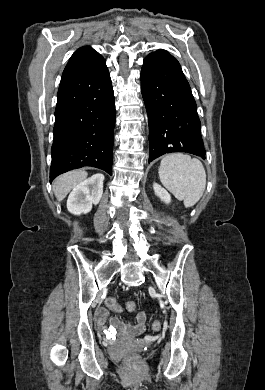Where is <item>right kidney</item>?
Returning a JSON list of instances; mask_svg holds the SVG:
<instances>
[{
	"mask_svg": "<svg viewBox=\"0 0 265 390\" xmlns=\"http://www.w3.org/2000/svg\"><path fill=\"white\" fill-rule=\"evenodd\" d=\"M103 181V174H95L75 186L67 200L68 211L75 215L89 213L102 198Z\"/></svg>",
	"mask_w": 265,
	"mask_h": 390,
	"instance_id": "1",
	"label": "right kidney"
}]
</instances>
